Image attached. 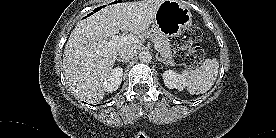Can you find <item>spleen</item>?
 <instances>
[{
	"instance_id": "1",
	"label": "spleen",
	"mask_w": 276,
	"mask_h": 138,
	"mask_svg": "<svg viewBox=\"0 0 276 138\" xmlns=\"http://www.w3.org/2000/svg\"><path fill=\"white\" fill-rule=\"evenodd\" d=\"M219 62L216 58L206 59L200 68L184 70L181 76L191 94H203L215 83L218 75Z\"/></svg>"
}]
</instances>
